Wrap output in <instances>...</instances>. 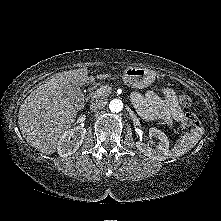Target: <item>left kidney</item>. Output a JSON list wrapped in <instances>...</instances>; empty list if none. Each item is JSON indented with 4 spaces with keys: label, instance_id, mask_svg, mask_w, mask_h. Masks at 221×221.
<instances>
[{
    "label": "left kidney",
    "instance_id": "5707ae66",
    "mask_svg": "<svg viewBox=\"0 0 221 221\" xmlns=\"http://www.w3.org/2000/svg\"><path fill=\"white\" fill-rule=\"evenodd\" d=\"M149 136L157 138L159 140L158 145L152 148L142 142H136L137 149L152 160H166L169 155V140L166 134L157 128H150Z\"/></svg>",
    "mask_w": 221,
    "mask_h": 221
}]
</instances>
